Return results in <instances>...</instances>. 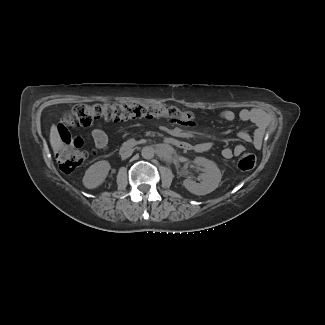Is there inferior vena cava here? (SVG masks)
Instances as JSON below:
<instances>
[{
    "label": "inferior vena cava",
    "mask_w": 325,
    "mask_h": 325,
    "mask_svg": "<svg viewBox=\"0 0 325 325\" xmlns=\"http://www.w3.org/2000/svg\"><path fill=\"white\" fill-rule=\"evenodd\" d=\"M131 154H132V151H127V152H124V153H122V158H128L129 156H131Z\"/></svg>",
    "instance_id": "602c4592"
}]
</instances>
